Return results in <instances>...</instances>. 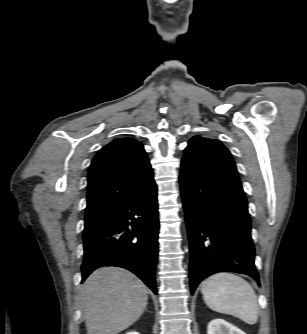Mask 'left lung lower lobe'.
I'll use <instances>...</instances> for the list:
<instances>
[{"label":"left lung lower lobe","mask_w":307,"mask_h":334,"mask_svg":"<svg viewBox=\"0 0 307 334\" xmlns=\"http://www.w3.org/2000/svg\"><path fill=\"white\" fill-rule=\"evenodd\" d=\"M180 188L190 243L191 294L217 272L247 274L259 282L242 185L181 170Z\"/></svg>","instance_id":"1"}]
</instances>
